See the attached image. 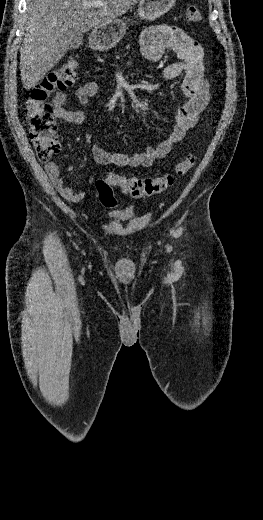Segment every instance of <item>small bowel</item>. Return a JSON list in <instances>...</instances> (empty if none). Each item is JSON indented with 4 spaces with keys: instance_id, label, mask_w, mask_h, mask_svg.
I'll list each match as a JSON object with an SVG mask.
<instances>
[{
    "instance_id": "1",
    "label": "small bowel",
    "mask_w": 263,
    "mask_h": 520,
    "mask_svg": "<svg viewBox=\"0 0 263 520\" xmlns=\"http://www.w3.org/2000/svg\"><path fill=\"white\" fill-rule=\"evenodd\" d=\"M166 50L176 53L179 61L167 65L163 69V77L172 80L184 73L181 91L184 103L174 112V126L168 137L155 146H148L144 151L134 154L114 153L105 151L98 142L92 144V154L95 161L101 165L118 167H150L155 160L165 158L172 147L180 142L188 130L193 128L199 115L208 105L210 86L204 77L203 51L198 42L177 26L158 25L143 31L140 37L141 56L148 61H159ZM99 92V85L87 82L73 92L80 105L86 104L90 97ZM69 96L60 92L52 100L54 114L58 119L82 125L84 114L68 107ZM45 170L57 191L70 202H80L84 199L83 191L76 192L66 185L61 170L55 162H47Z\"/></svg>"
}]
</instances>
